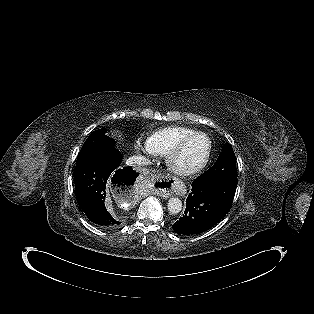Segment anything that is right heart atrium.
Here are the masks:
<instances>
[{
	"instance_id": "right-heart-atrium-1",
	"label": "right heart atrium",
	"mask_w": 314,
	"mask_h": 314,
	"mask_svg": "<svg viewBox=\"0 0 314 314\" xmlns=\"http://www.w3.org/2000/svg\"><path fill=\"white\" fill-rule=\"evenodd\" d=\"M135 148L139 151H144L148 154H152L147 143L146 142H142L140 139L135 141Z\"/></svg>"
}]
</instances>
